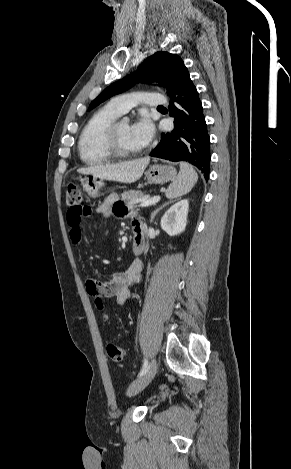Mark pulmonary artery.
<instances>
[{
    "instance_id": "pulmonary-artery-1",
    "label": "pulmonary artery",
    "mask_w": 291,
    "mask_h": 469,
    "mask_svg": "<svg viewBox=\"0 0 291 469\" xmlns=\"http://www.w3.org/2000/svg\"><path fill=\"white\" fill-rule=\"evenodd\" d=\"M110 103L120 112L126 113L137 105H145L149 107H159L167 103V99L160 93L156 92H140L122 94L114 97Z\"/></svg>"
}]
</instances>
